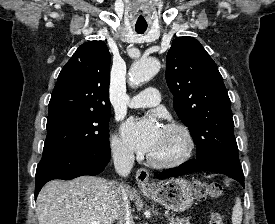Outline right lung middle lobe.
<instances>
[{
    "mask_svg": "<svg viewBox=\"0 0 275 224\" xmlns=\"http://www.w3.org/2000/svg\"><path fill=\"white\" fill-rule=\"evenodd\" d=\"M111 111H61L48 115L43 154L81 151L109 144Z\"/></svg>",
    "mask_w": 275,
    "mask_h": 224,
    "instance_id": "1",
    "label": "right lung middle lobe"
}]
</instances>
